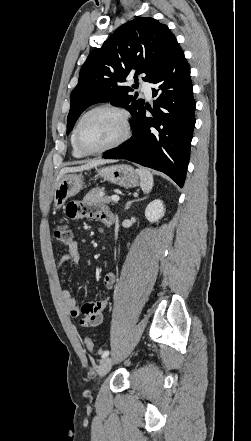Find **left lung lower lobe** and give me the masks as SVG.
Wrapping results in <instances>:
<instances>
[{
  "label": "left lung lower lobe",
  "mask_w": 251,
  "mask_h": 441,
  "mask_svg": "<svg viewBox=\"0 0 251 441\" xmlns=\"http://www.w3.org/2000/svg\"><path fill=\"white\" fill-rule=\"evenodd\" d=\"M153 110L143 105L131 121L132 137L108 151L105 159H126L170 176L183 187L195 126L190 67L177 44L163 67L149 81ZM146 109L152 116L146 117Z\"/></svg>",
  "instance_id": "0a47b994"
}]
</instances>
